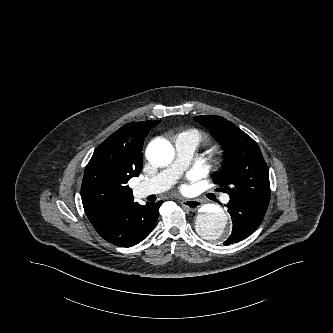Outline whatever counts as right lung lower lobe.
Here are the masks:
<instances>
[{
	"instance_id": "right-lung-lower-lobe-1",
	"label": "right lung lower lobe",
	"mask_w": 333,
	"mask_h": 333,
	"mask_svg": "<svg viewBox=\"0 0 333 333\" xmlns=\"http://www.w3.org/2000/svg\"><path fill=\"white\" fill-rule=\"evenodd\" d=\"M160 205L161 201L147 202L143 206L132 199L111 211L93 227L108 242L131 247L144 240L153 230Z\"/></svg>"
}]
</instances>
